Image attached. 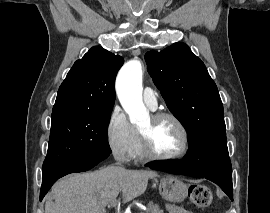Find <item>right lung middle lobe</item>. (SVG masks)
Listing matches in <instances>:
<instances>
[{
	"label": "right lung middle lobe",
	"mask_w": 270,
	"mask_h": 213,
	"mask_svg": "<svg viewBox=\"0 0 270 213\" xmlns=\"http://www.w3.org/2000/svg\"><path fill=\"white\" fill-rule=\"evenodd\" d=\"M111 111L52 112L48 152L43 167L110 154L107 129Z\"/></svg>",
	"instance_id": "obj_1"
}]
</instances>
